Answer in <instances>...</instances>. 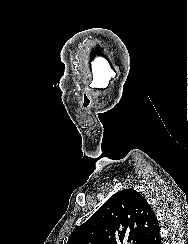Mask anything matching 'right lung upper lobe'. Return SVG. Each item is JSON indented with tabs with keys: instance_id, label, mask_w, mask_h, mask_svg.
Segmentation results:
<instances>
[{
	"instance_id": "cb5924a9",
	"label": "right lung upper lobe",
	"mask_w": 188,
	"mask_h": 244,
	"mask_svg": "<svg viewBox=\"0 0 188 244\" xmlns=\"http://www.w3.org/2000/svg\"><path fill=\"white\" fill-rule=\"evenodd\" d=\"M158 226L148 202L129 188L111 196L72 233L67 244H146Z\"/></svg>"
}]
</instances>
